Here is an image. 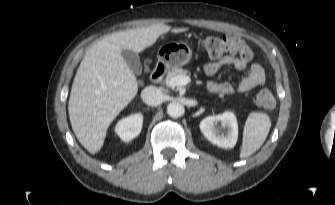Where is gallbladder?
Returning a JSON list of instances; mask_svg holds the SVG:
<instances>
[{
  "mask_svg": "<svg viewBox=\"0 0 335 205\" xmlns=\"http://www.w3.org/2000/svg\"><path fill=\"white\" fill-rule=\"evenodd\" d=\"M122 56L132 72L136 75H140L142 72V65L138 54L134 51L124 49L122 50Z\"/></svg>",
  "mask_w": 335,
  "mask_h": 205,
  "instance_id": "gallbladder-1",
  "label": "gallbladder"
}]
</instances>
